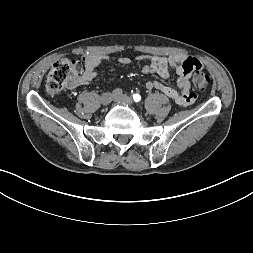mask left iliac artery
I'll return each instance as SVG.
<instances>
[{
	"mask_svg": "<svg viewBox=\"0 0 253 253\" xmlns=\"http://www.w3.org/2000/svg\"><path fill=\"white\" fill-rule=\"evenodd\" d=\"M133 99L135 102H139L141 100V96L139 94H134Z\"/></svg>",
	"mask_w": 253,
	"mask_h": 253,
	"instance_id": "obj_1",
	"label": "left iliac artery"
}]
</instances>
